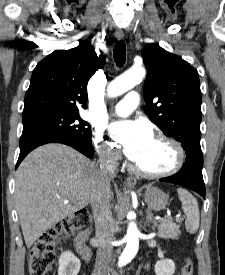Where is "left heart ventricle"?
Returning a JSON list of instances; mask_svg holds the SVG:
<instances>
[{
  "label": "left heart ventricle",
  "instance_id": "1",
  "mask_svg": "<svg viewBox=\"0 0 225 275\" xmlns=\"http://www.w3.org/2000/svg\"><path fill=\"white\" fill-rule=\"evenodd\" d=\"M173 162L172 148L166 142L153 138L135 163L144 171L160 172L170 168Z\"/></svg>",
  "mask_w": 225,
  "mask_h": 275
}]
</instances>
